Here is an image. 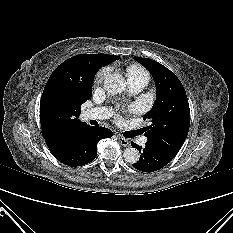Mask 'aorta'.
I'll return each instance as SVG.
<instances>
[{"label": "aorta", "mask_w": 233, "mask_h": 233, "mask_svg": "<svg viewBox=\"0 0 233 233\" xmlns=\"http://www.w3.org/2000/svg\"><path fill=\"white\" fill-rule=\"evenodd\" d=\"M103 86L108 93L118 94L125 90L126 81L121 74L114 73L104 80ZM123 157L126 163L134 164L138 162L140 154L137 149L129 147L124 150Z\"/></svg>", "instance_id": "762f6f07"}]
</instances>
